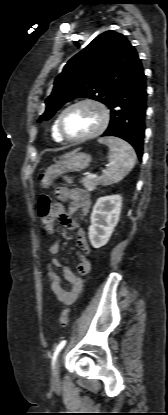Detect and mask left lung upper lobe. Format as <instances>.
<instances>
[{
    "instance_id": "obj_1",
    "label": "left lung upper lobe",
    "mask_w": 168,
    "mask_h": 415,
    "mask_svg": "<svg viewBox=\"0 0 168 415\" xmlns=\"http://www.w3.org/2000/svg\"><path fill=\"white\" fill-rule=\"evenodd\" d=\"M126 37L114 31L97 36L72 57L56 77L39 122L50 119L65 103L90 98L107 106L139 61Z\"/></svg>"
}]
</instances>
